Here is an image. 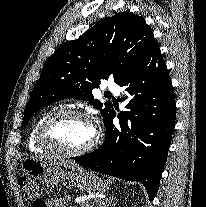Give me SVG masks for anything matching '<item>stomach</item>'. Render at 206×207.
<instances>
[{
	"instance_id": "stomach-1",
	"label": "stomach",
	"mask_w": 206,
	"mask_h": 207,
	"mask_svg": "<svg viewBox=\"0 0 206 207\" xmlns=\"http://www.w3.org/2000/svg\"><path fill=\"white\" fill-rule=\"evenodd\" d=\"M21 170L25 175L48 186H56L68 180L71 186L89 194L105 193L111 184V181L102 179L84 168H67L59 162L48 159L26 158L22 162Z\"/></svg>"
}]
</instances>
